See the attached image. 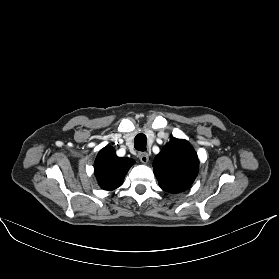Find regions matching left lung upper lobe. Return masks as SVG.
Masks as SVG:
<instances>
[{"label": "left lung upper lobe", "mask_w": 279, "mask_h": 279, "mask_svg": "<svg viewBox=\"0 0 279 279\" xmlns=\"http://www.w3.org/2000/svg\"><path fill=\"white\" fill-rule=\"evenodd\" d=\"M153 171L164 191L183 192L197 177L199 171L197 153L188 141L172 138L156 155Z\"/></svg>", "instance_id": "left-lung-upper-lobe-1"}]
</instances>
